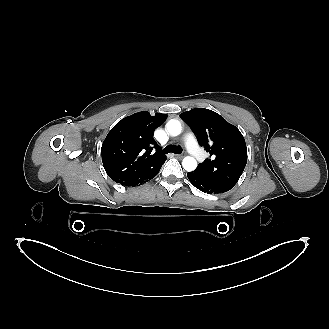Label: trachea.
Segmentation results:
<instances>
[{"mask_svg": "<svg viewBox=\"0 0 329 329\" xmlns=\"http://www.w3.org/2000/svg\"><path fill=\"white\" fill-rule=\"evenodd\" d=\"M168 153H175V154H180L182 153V148L179 146H166L163 150V154H168Z\"/></svg>", "mask_w": 329, "mask_h": 329, "instance_id": "obj_1", "label": "trachea"}]
</instances>
